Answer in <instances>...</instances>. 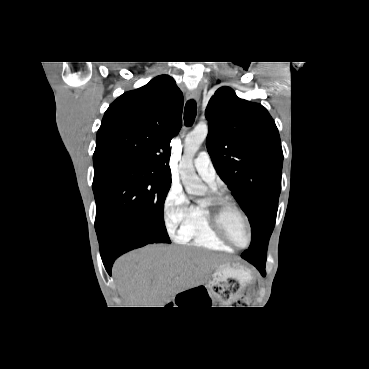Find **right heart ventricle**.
I'll return each mask as SVG.
<instances>
[{
    "label": "right heart ventricle",
    "mask_w": 369,
    "mask_h": 369,
    "mask_svg": "<svg viewBox=\"0 0 369 369\" xmlns=\"http://www.w3.org/2000/svg\"><path fill=\"white\" fill-rule=\"evenodd\" d=\"M178 240L212 250L233 251L212 229L203 203L191 206L190 215L179 232Z\"/></svg>",
    "instance_id": "1"
}]
</instances>
